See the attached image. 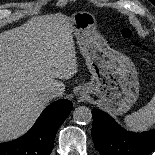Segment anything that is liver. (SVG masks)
<instances>
[{
	"mask_svg": "<svg viewBox=\"0 0 155 155\" xmlns=\"http://www.w3.org/2000/svg\"><path fill=\"white\" fill-rule=\"evenodd\" d=\"M70 18L37 16L0 33V142L24 134L48 99L49 86L65 89L59 79L77 72Z\"/></svg>",
	"mask_w": 155,
	"mask_h": 155,
	"instance_id": "1",
	"label": "liver"
}]
</instances>
